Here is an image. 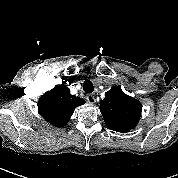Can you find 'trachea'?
Here are the masks:
<instances>
[{
    "instance_id": "3493384b",
    "label": "trachea",
    "mask_w": 178,
    "mask_h": 178,
    "mask_svg": "<svg viewBox=\"0 0 178 178\" xmlns=\"http://www.w3.org/2000/svg\"><path fill=\"white\" fill-rule=\"evenodd\" d=\"M83 90L86 93H92L94 91V86L90 80H85L83 83Z\"/></svg>"
}]
</instances>
